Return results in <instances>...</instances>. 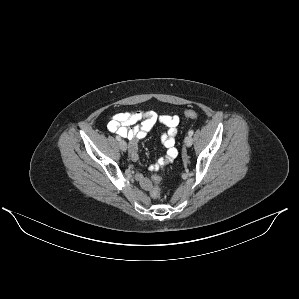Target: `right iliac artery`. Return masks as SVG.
<instances>
[{"mask_svg":"<svg viewBox=\"0 0 299 299\" xmlns=\"http://www.w3.org/2000/svg\"><path fill=\"white\" fill-rule=\"evenodd\" d=\"M116 140L120 141L121 140L120 136H116Z\"/></svg>","mask_w":299,"mask_h":299,"instance_id":"obj_1","label":"right iliac artery"}]
</instances>
